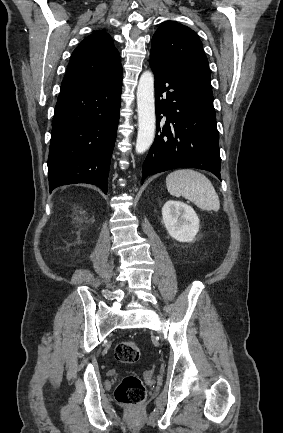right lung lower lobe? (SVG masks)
I'll use <instances>...</instances> for the list:
<instances>
[{"instance_id":"98d812e1","label":"right lung lower lobe","mask_w":283,"mask_h":433,"mask_svg":"<svg viewBox=\"0 0 283 433\" xmlns=\"http://www.w3.org/2000/svg\"><path fill=\"white\" fill-rule=\"evenodd\" d=\"M122 77L77 92L59 94L48 158L49 189L88 183L108 189L116 140Z\"/></svg>"}]
</instances>
